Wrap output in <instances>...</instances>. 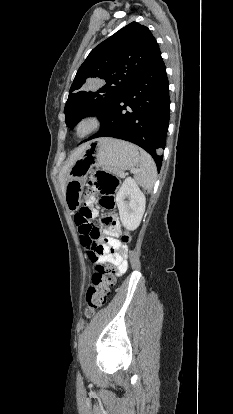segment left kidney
I'll use <instances>...</instances> for the list:
<instances>
[{
	"label": "left kidney",
	"mask_w": 233,
	"mask_h": 414,
	"mask_svg": "<svg viewBox=\"0 0 233 414\" xmlns=\"http://www.w3.org/2000/svg\"><path fill=\"white\" fill-rule=\"evenodd\" d=\"M116 204L122 225L128 230H135L141 223L146 198L131 177L126 178L120 187L116 195Z\"/></svg>",
	"instance_id": "obj_1"
}]
</instances>
